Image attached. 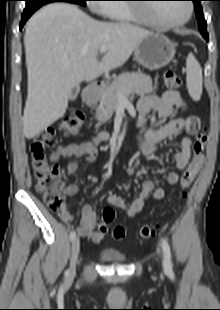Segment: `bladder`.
<instances>
[{"mask_svg": "<svg viewBox=\"0 0 220 310\" xmlns=\"http://www.w3.org/2000/svg\"><path fill=\"white\" fill-rule=\"evenodd\" d=\"M99 259L104 263H122L126 256L123 252L112 247H104L98 251Z\"/></svg>", "mask_w": 220, "mask_h": 310, "instance_id": "1", "label": "bladder"}]
</instances>
